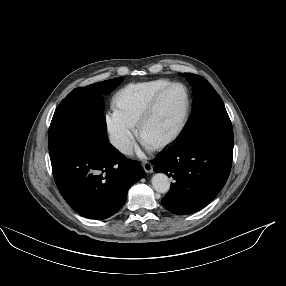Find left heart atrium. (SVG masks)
<instances>
[{"mask_svg": "<svg viewBox=\"0 0 286 286\" xmlns=\"http://www.w3.org/2000/svg\"><path fill=\"white\" fill-rule=\"evenodd\" d=\"M152 150V144L149 143L147 140H145L143 138V141H142V146L141 147H137L135 150H134V153L140 157H143L145 156V153L146 152H149Z\"/></svg>", "mask_w": 286, "mask_h": 286, "instance_id": "obj_1", "label": "left heart atrium"}]
</instances>
